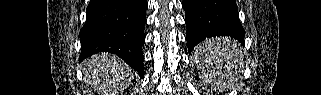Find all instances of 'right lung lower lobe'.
Wrapping results in <instances>:
<instances>
[{
  "instance_id": "98d812e1",
  "label": "right lung lower lobe",
  "mask_w": 321,
  "mask_h": 95,
  "mask_svg": "<svg viewBox=\"0 0 321 95\" xmlns=\"http://www.w3.org/2000/svg\"><path fill=\"white\" fill-rule=\"evenodd\" d=\"M146 0H90L80 31L81 55L114 53L143 77Z\"/></svg>"
}]
</instances>
